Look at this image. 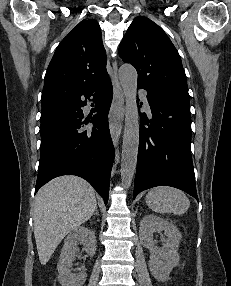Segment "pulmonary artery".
I'll return each instance as SVG.
<instances>
[{
    "label": "pulmonary artery",
    "instance_id": "obj_1",
    "mask_svg": "<svg viewBox=\"0 0 231 286\" xmlns=\"http://www.w3.org/2000/svg\"><path fill=\"white\" fill-rule=\"evenodd\" d=\"M139 93H140V95H141V97H142L144 103H145L146 105H148L147 92H146L144 89H140V90H139Z\"/></svg>",
    "mask_w": 231,
    "mask_h": 286
}]
</instances>
